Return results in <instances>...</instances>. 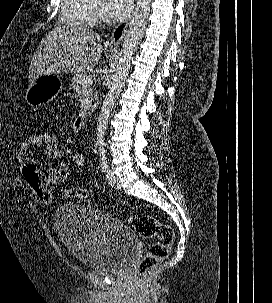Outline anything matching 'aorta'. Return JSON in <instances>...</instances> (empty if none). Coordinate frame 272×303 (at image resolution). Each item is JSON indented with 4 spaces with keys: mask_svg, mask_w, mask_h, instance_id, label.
<instances>
[{
    "mask_svg": "<svg viewBox=\"0 0 272 303\" xmlns=\"http://www.w3.org/2000/svg\"><path fill=\"white\" fill-rule=\"evenodd\" d=\"M150 6L151 0H137L133 18L130 22L122 45L116 73L113 76L111 87L106 95L98 117L96 135L99 145H104V136L110 118V113L125 84L132 56L143 38L150 14Z\"/></svg>",
    "mask_w": 272,
    "mask_h": 303,
    "instance_id": "obj_1",
    "label": "aorta"
}]
</instances>
